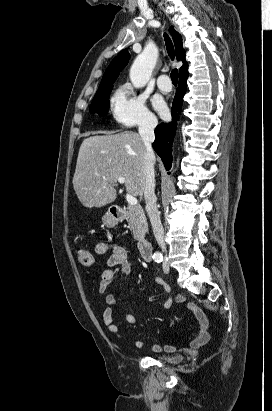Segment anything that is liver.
I'll return each mask as SVG.
<instances>
[{
	"instance_id": "1",
	"label": "liver",
	"mask_w": 272,
	"mask_h": 411,
	"mask_svg": "<svg viewBox=\"0 0 272 411\" xmlns=\"http://www.w3.org/2000/svg\"><path fill=\"white\" fill-rule=\"evenodd\" d=\"M145 146L136 132L86 138L80 146L73 187L86 208L102 207L116 199L117 178H125L126 190L142 196L145 189ZM105 177V179H104Z\"/></svg>"
}]
</instances>
